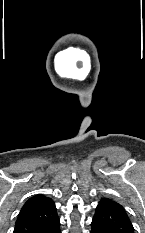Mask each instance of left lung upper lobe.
I'll return each instance as SVG.
<instances>
[{
	"instance_id": "obj_1",
	"label": "left lung upper lobe",
	"mask_w": 145,
	"mask_h": 233,
	"mask_svg": "<svg viewBox=\"0 0 145 233\" xmlns=\"http://www.w3.org/2000/svg\"><path fill=\"white\" fill-rule=\"evenodd\" d=\"M93 220L110 233H134L133 225L122 205L109 198H102Z\"/></svg>"
}]
</instances>
